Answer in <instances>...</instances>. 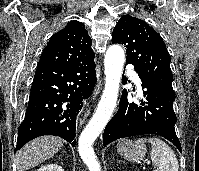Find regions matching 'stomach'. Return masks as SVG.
Listing matches in <instances>:
<instances>
[{
  "mask_svg": "<svg viewBox=\"0 0 199 171\" xmlns=\"http://www.w3.org/2000/svg\"><path fill=\"white\" fill-rule=\"evenodd\" d=\"M118 153L127 160L138 161L141 160L146 152L144 143L133 142L132 140L123 139L117 144Z\"/></svg>",
  "mask_w": 199,
  "mask_h": 171,
  "instance_id": "0dacf381",
  "label": "stomach"
}]
</instances>
